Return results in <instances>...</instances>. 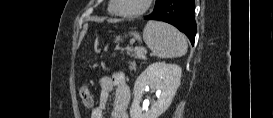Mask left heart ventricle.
<instances>
[{
	"label": "left heart ventricle",
	"instance_id": "1",
	"mask_svg": "<svg viewBox=\"0 0 273 118\" xmlns=\"http://www.w3.org/2000/svg\"><path fill=\"white\" fill-rule=\"evenodd\" d=\"M145 0H118L117 8L122 12H135L140 10Z\"/></svg>",
	"mask_w": 273,
	"mask_h": 118
}]
</instances>
